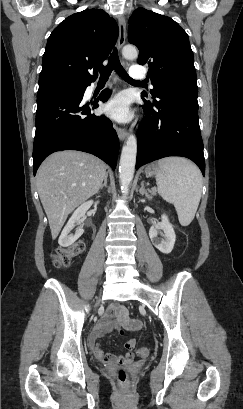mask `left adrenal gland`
Listing matches in <instances>:
<instances>
[{
	"mask_svg": "<svg viewBox=\"0 0 243 409\" xmlns=\"http://www.w3.org/2000/svg\"><path fill=\"white\" fill-rule=\"evenodd\" d=\"M139 193L142 196H145L147 199H150L151 196L149 195V193L147 192V190H145V186H144V181L141 182V186L139 188Z\"/></svg>",
	"mask_w": 243,
	"mask_h": 409,
	"instance_id": "1",
	"label": "left adrenal gland"
}]
</instances>
